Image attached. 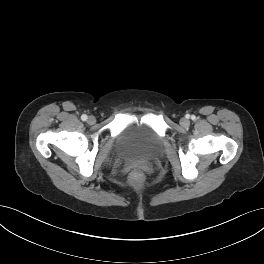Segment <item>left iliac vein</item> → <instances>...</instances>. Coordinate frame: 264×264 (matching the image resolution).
Returning a JSON list of instances; mask_svg holds the SVG:
<instances>
[{"label": "left iliac vein", "instance_id": "left-iliac-vein-1", "mask_svg": "<svg viewBox=\"0 0 264 264\" xmlns=\"http://www.w3.org/2000/svg\"><path fill=\"white\" fill-rule=\"evenodd\" d=\"M180 123H181L182 126H188L189 125V120L186 119V118H182L180 120Z\"/></svg>", "mask_w": 264, "mask_h": 264}]
</instances>
